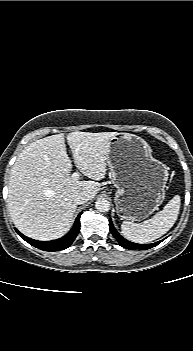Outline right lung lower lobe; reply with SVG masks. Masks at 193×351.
Wrapping results in <instances>:
<instances>
[{"instance_id": "98d812e1", "label": "right lung lower lobe", "mask_w": 193, "mask_h": 351, "mask_svg": "<svg viewBox=\"0 0 193 351\" xmlns=\"http://www.w3.org/2000/svg\"><path fill=\"white\" fill-rule=\"evenodd\" d=\"M80 216L81 213L77 216L76 221L70 230V232L65 235L64 237L53 240V241H37L31 238H28L24 236L22 233H20L17 229L16 232L19 234L21 238H23L26 242H28L30 245L44 250V251H59L68 248L76 238V236L79 233L80 230Z\"/></svg>"}]
</instances>
